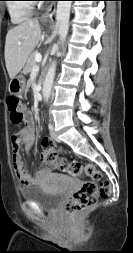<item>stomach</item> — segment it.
<instances>
[{"instance_id":"1","label":"stomach","mask_w":133,"mask_h":253,"mask_svg":"<svg viewBox=\"0 0 133 253\" xmlns=\"http://www.w3.org/2000/svg\"><path fill=\"white\" fill-rule=\"evenodd\" d=\"M25 89V78L22 75L15 76L9 83V91L11 94H22Z\"/></svg>"}]
</instances>
